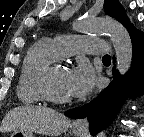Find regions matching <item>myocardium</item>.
<instances>
[{"mask_svg": "<svg viewBox=\"0 0 144 137\" xmlns=\"http://www.w3.org/2000/svg\"><path fill=\"white\" fill-rule=\"evenodd\" d=\"M58 66L60 65L52 63L42 72L39 80V88L46 101L55 104H68L72 102V98L59 95L53 87V76Z\"/></svg>", "mask_w": 144, "mask_h": 137, "instance_id": "1", "label": "myocardium"}]
</instances>
